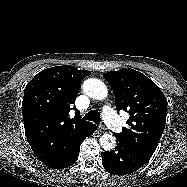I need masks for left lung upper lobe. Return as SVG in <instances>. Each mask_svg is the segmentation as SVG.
<instances>
[{
	"label": "left lung upper lobe",
	"instance_id": "left-lung-upper-lobe-1",
	"mask_svg": "<svg viewBox=\"0 0 187 187\" xmlns=\"http://www.w3.org/2000/svg\"><path fill=\"white\" fill-rule=\"evenodd\" d=\"M113 86L118 111H128L129 126L116 134L126 148L153 155L166 123L167 100L160 88L134 69L104 74Z\"/></svg>",
	"mask_w": 187,
	"mask_h": 187
}]
</instances>
